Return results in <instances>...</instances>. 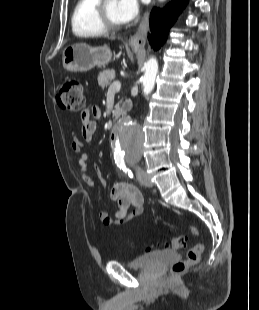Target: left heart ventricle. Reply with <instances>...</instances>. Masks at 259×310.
<instances>
[{
    "label": "left heart ventricle",
    "mask_w": 259,
    "mask_h": 310,
    "mask_svg": "<svg viewBox=\"0 0 259 310\" xmlns=\"http://www.w3.org/2000/svg\"><path fill=\"white\" fill-rule=\"evenodd\" d=\"M106 12L111 22L115 24H122L117 15V1L116 0H107Z\"/></svg>",
    "instance_id": "left-heart-ventricle-1"
}]
</instances>
